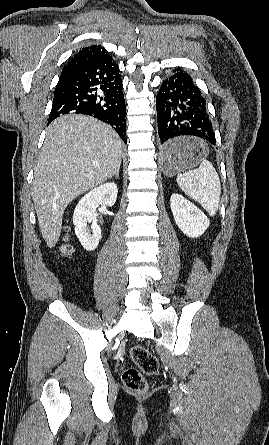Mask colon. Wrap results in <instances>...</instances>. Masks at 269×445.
<instances>
[{
    "instance_id": "obj_1",
    "label": "colon",
    "mask_w": 269,
    "mask_h": 445,
    "mask_svg": "<svg viewBox=\"0 0 269 445\" xmlns=\"http://www.w3.org/2000/svg\"><path fill=\"white\" fill-rule=\"evenodd\" d=\"M65 253L69 252L67 246L63 247ZM130 357L135 367L126 369L122 374L124 385L137 393H144L148 389L147 381L144 375L152 376L159 370V361L157 357L144 346H133L130 349Z\"/></svg>"
}]
</instances>
